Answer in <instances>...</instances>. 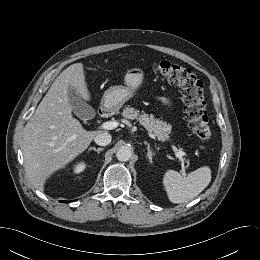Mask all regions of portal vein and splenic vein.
I'll list each match as a JSON object with an SVG mask.
<instances>
[{"label": "portal vein and splenic vein", "instance_id": "18ae733b", "mask_svg": "<svg viewBox=\"0 0 260 260\" xmlns=\"http://www.w3.org/2000/svg\"><path fill=\"white\" fill-rule=\"evenodd\" d=\"M118 125H119V122H117V121H107V122H104V123L101 125V127H102L103 129H106V130H112V129L117 128ZM150 135H152V134H150ZM185 155H186V154H185L183 151L177 150V157H178V159H179V162H180L181 165H182L181 173H182L184 176L186 175V173H185V168H184V158H183V156H185Z\"/></svg>", "mask_w": 260, "mask_h": 260}]
</instances>
